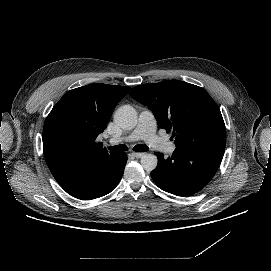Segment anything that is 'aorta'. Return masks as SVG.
<instances>
[{
    "mask_svg": "<svg viewBox=\"0 0 271 271\" xmlns=\"http://www.w3.org/2000/svg\"><path fill=\"white\" fill-rule=\"evenodd\" d=\"M114 122L123 130H131L137 126L138 113L131 105H124L117 109ZM141 166L146 171H152L157 167L158 158L154 154H144L140 158Z\"/></svg>",
    "mask_w": 271,
    "mask_h": 271,
    "instance_id": "obj_1",
    "label": "aorta"
}]
</instances>
